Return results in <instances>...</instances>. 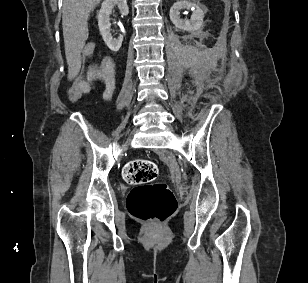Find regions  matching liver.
<instances>
[{
	"instance_id": "6515ba94",
	"label": "liver",
	"mask_w": 308,
	"mask_h": 283,
	"mask_svg": "<svg viewBox=\"0 0 308 283\" xmlns=\"http://www.w3.org/2000/svg\"><path fill=\"white\" fill-rule=\"evenodd\" d=\"M101 0H64L62 11V27L65 54L68 64L80 55L89 36L88 18L90 12Z\"/></svg>"
}]
</instances>
